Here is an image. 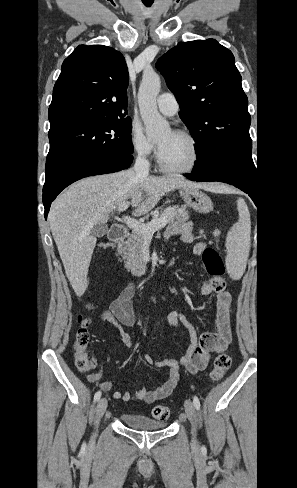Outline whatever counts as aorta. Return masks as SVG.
<instances>
[{
  "label": "aorta",
  "instance_id": "aorta-1",
  "mask_svg": "<svg viewBox=\"0 0 297 488\" xmlns=\"http://www.w3.org/2000/svg\"><path fill=\"white\" fill-rule=\"evenodd\" d=\"M160 88L161 81L158 74L153 71L143 73L138 91V103L146 134L151 137L163 133L169 127L168 122L157 109L156 97Z\"/></svg>",
  "mask_w": 297,
  "mask_h": 488
}]
</instances>
